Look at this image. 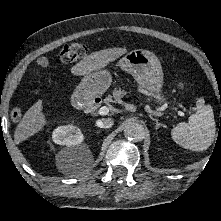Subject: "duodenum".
Instances as JSON below:
<instances>
[{
    "instance_id": "410a0bca",
    "label": "duodenum",
    "mask_w": 221,
    "mask_h": 221,
    "mask_svg": "<svg viewBox=\"0 0 221 221\" xmlns=\"http://www.w3.org/2000/svg\"><path fill=\"white\" fill-rule=\"evenodd\" d=\"M100 98L97 97H89L86 98L82 95H78L75 97V105L84 110L86 113L94 112L100 105Z\"/></svg>"
}]
</instances>
